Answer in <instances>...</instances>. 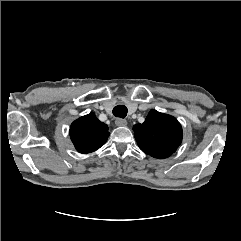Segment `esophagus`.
Returning <instances> with one entry per match:
<instances>
[{
  "label": "esophagus",
  "instance_id": "34e87169",
  "mask_svg": "<svg viewBox=\"0 0 241 241\" xmlns=\"http://www.w3.org/2000/svg\"><path fill=\"white\" fill-rule=\"evenodd\" d=\"M115 124H116V126H126L127 121L125 119H122V118H117L115 120Z\"/></svg>",
  "mask_w": 241,
  "mask_h": 241
}]
</instances>
